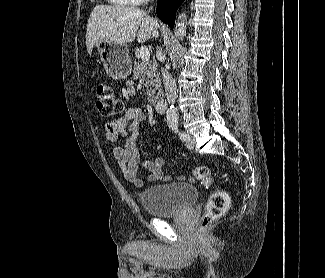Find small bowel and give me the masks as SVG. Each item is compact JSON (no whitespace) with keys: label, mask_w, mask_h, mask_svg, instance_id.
I'll return each mask as SVG.
<instances>
[{"label":"small bowel","mask_w":325,"mask_h":278,"mask_svg":"<svg viewBox=\"0 0 325 278\" xmlns=\"http://www.w3.org/2000/svg\"><path fill=\"white\" fill-rule=\"evenodd\" d=\"M128 95L133 97L134 88L131 83L127 88ZM146 120V113L141 108H129L125 114L105 125V137L113 143L112 153L116 164L123 172L125 179L136 185L142 186L143 181L139 177V169L149 171L148 180L151 182L167 181L169 177L163 173L165 161L161 157L152 160L141 158L137 145V136L142 124ZM123 138V142L119 139Z\"/></svg>","instance_id":"1"}]
</instances>
